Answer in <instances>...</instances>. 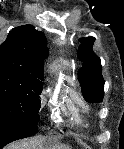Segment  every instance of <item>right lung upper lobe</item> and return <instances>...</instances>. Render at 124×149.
I'll return each mask as SVG.
<instances>
[{
    "instance_id": "1",
    "label": "right lung upper lobe",
    "mask_w": 124,
    "mask_h": 149,
    "mask_svg": "<svg viewBox=\"0 0 124 149\" xmlns=\"http://www.w3.org/2000/svg\"><path fill=\"white\" fill-rule=\"evenodd\" d=\"M47 56L43 32L32 25L16 27L0 45V74L28 86L43 87V60Z\"/></svg>"
}]
</instances>
